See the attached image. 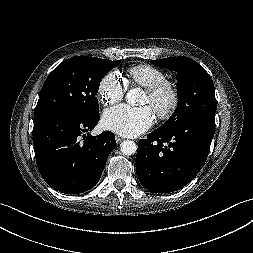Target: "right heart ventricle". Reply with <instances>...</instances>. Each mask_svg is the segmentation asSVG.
Listing matches in <instances>:
<instances>
[{
  "mask_svg": "<svg viewBox=\"0 0 253 253\" xmlns=\"http://www.w3.org/2000/svg\"><path fill=\"white\" fill-rule=\"evenodd\" d=\"M165 79L164 73L157 67L149 64H139L127 69L124 78L126 84L149 87L150 85Z\"/></svg>",
  "mask_w": 253,
  "mask_h": 253,
  "instance_id": "obj_1",
  "label": "right heart ventricle"
}]
</instances>
